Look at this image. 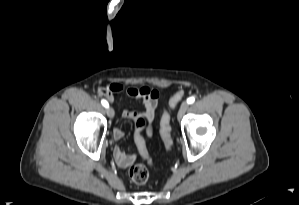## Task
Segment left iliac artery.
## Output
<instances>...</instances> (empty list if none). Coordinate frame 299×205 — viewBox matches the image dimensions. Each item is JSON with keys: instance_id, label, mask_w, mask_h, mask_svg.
Here are the masks:
<instances>
[{"instance_id": "left-iliac-artery-1", "label": "left iliac artery", "mask_w": 299, "mask_h": 205, "mask_svg": "<svg viewBox=\"0 0 299 205\" xmlns=\"http://www.w3.org/2000/svg\"><path fill=\"white\" fill-rule=\"evenodd\" d=\"M194 101H195V98H194V97H189V98L187 99V103H188V104H192V103H194Z\"/></svg>"}]
</instances>
